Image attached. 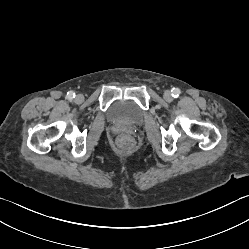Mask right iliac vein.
Instances as JSON below:
<instances>
[{
  "instance_id": "right-iliac-vein-1",
  "label": "right iliac vein",
  "mask_w": 249,
  "mask_h": 249,
  "mask_svg": "<svg viewBox=\"0 0 249 249\" xmlns=\"http://www.w3.org/2000/svg\"><path fill=\"white\" fill-rule=\"evenodd\" d=\"M83 99H84L83 96L81 94H79V95L76 96L75 101L77 103H81L83 101Z\"/></svg>"
}]
</instances>
